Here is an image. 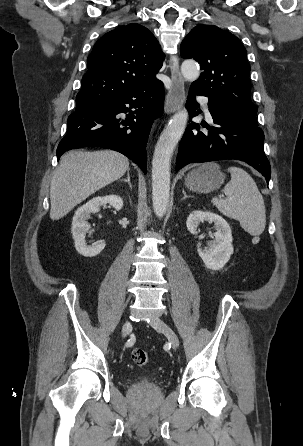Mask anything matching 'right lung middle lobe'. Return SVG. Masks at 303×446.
<instances>
[{"label": "right lung middle lobe", "instance_id": "right-lung-middle-lobe-1", "mask_svg": "<svg viewBox=\"0 0 303 446\" xmlns=\"http://www.w3.org/2000/svg\"><path fill=\"white\" fill-rule=\"evenodd\" d=\"M76 108H81V107H84V106H87V105H85V100H82V99H79V98H76Z\"/></svg>", "mask_w": 303, "mask_h": 446}]
</instances>
